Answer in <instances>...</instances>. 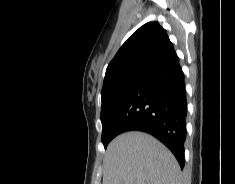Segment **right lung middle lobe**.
Returning a JSON list of instances; mask_svg holds the SVG:
<instances>
[{"label": "right lung middle lobe", "instance_id": "right-lung-middle-lobe-1", "mask_svg": "<svg viewBox=\"0 0 235 184\" xmlns=\"http://www.w3.org/2000/svg\"><path fill=\"white\" fill-rule=\"evenodd\" d=\"M143 78H131L126 80L120 86L108 90L101 95V122H102V143L106 148L108 143L116 136L111 131L112 124L117 117L122 105L131 93V91L140 85Z\"/></svg>", "mask_w": 235, "mask_h": 184}]
</instances>
